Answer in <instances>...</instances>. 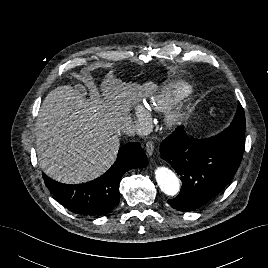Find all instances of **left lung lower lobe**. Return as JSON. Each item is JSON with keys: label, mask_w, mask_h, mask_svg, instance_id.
Here are the masks:
<instances>
[{"label": "left lung lower lobe", "mask_w": 268, "mask_h": 268, "mask_svg": "<svg viewBox=\"0 0 268 268\" xmlns=\"http://www.w3.org/2000/svg\"><path fill=\"white\" fill-rule=\"evenodd\" d=\"M160 152L181 176L179 195L168 200L179 211L198 209L217 196L235 175L243 156V151L218 136L194 140L180 126L161 143Z\"/></svg>", "instance_id": "1"}]
</instances>
